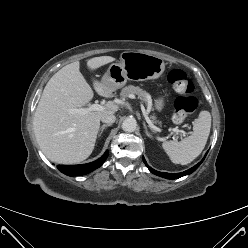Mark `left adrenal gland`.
Instances as JSON below:
<instances>
[{
  "mask_svg": "<svg viewBox=\"0 0 248 248\" xmlns=\"http://www.w3.org/2000/svg\"><path fill=\"white\" fill-rule=\"evenodd\" d=\"M143 126H144V129H145V134H146V136H148V137H152L151 136V134L148 132V129H147V126H146V124H145V122L143 123Z\"/></svg>",
  "mask_w": 248,
  "mask_h": 248,
  "instance_id": "a2214340",
  "label": "left adrenal gland"
}]
</instances>
